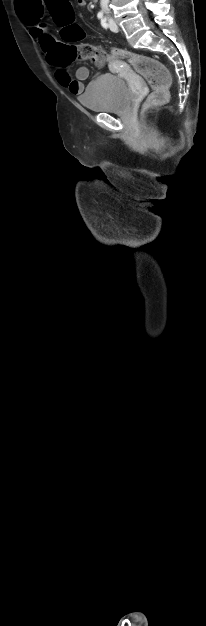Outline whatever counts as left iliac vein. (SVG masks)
I'll list each match as a JSON object with an SVG mask.
<instances>
[{"mask_svg":"<svg viewBox=\"0 0 206 626\" xmlns=\"http://www.w3.org/2000/svg\"><path fill=\"white\" fill-rule=\"evenodd\" d=\"M108 24H109V28H110L111 31H113V32L118 31V26H117L115 20L109 19Z\"/></svg>","mask_w":206,"mask_h":626,"instance_id":"obj_1","label":"left iliac vein"}]
</instances>
